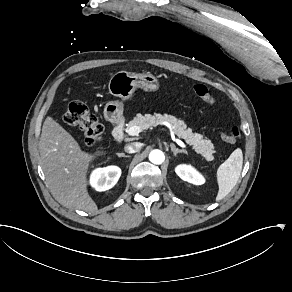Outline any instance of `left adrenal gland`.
Instances as JSON below:
<instances>
[{"label":"left adrenal gland","instance_id":"1","mask_svg":"<svg viewBox=\"0 0 292 292\" xmlns=\"http://www.w3.org/2000/svg\"><path fill=\"white\" fill-rule=\"evenodd\" d=\"M170 147H171V151L174 153L175 156L177 155V153H187V151L184 149L176 148L173 143L170 144Z\"/></svg>","mask_w":292,"mask_h":292}]
</instances>
